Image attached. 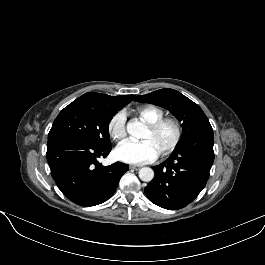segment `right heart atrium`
<instances>
[{
    "instance_id": "1",
    "label": "right heart atrium",
    "mask_w": 265,
    "mask_h": 265,
    "mask_svg": "<svg viewBox=\"0 0 265 265\" xmlns=\"http://www.w3.org/2000/svg\"><path fill=\"white\" fill-rule=\"evenodd\" d=\"M107 131L110 137L116 141H120L126 136V117L123 111L112 115L107 124Z\"/></svg>"
}]
</instances>
